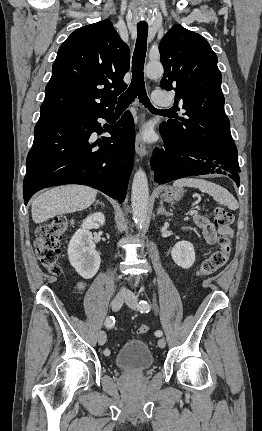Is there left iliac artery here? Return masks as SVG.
I'll list each match as a JSON object with an SVG mask.
<instances>
[{
    "label": "left iliac artery",
    "instance_id": "left-iliac-artery-1",
    "mask_svg": "<svg viewBox=\"0 0 262 431\" xmlns=\"http://www.w3.org/2000/svg\"><path fill=\"white\" fill-rule=\"evenodd\" d=\"M138 308L141 312H149L150 311V305L146 300H140ZM155 335L157 337H161L163 335V332L161 330H157L155 332Z\"/></svg>",
    "mask_w": 262,
    "mask_h": 431
}]
</instances>
